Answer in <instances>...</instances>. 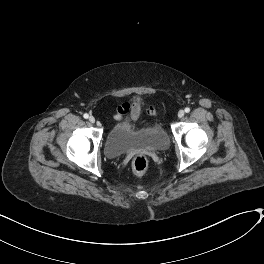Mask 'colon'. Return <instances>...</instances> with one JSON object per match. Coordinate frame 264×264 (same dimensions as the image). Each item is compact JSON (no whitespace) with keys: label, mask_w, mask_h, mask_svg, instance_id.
Returning <instances> with one entry per match:
<instances>
[{"label":"colon","mask_w":264,"mask_h":264,"mask_svg":"<svg viewBox=\"0 0 264 264\" xmlns=\"http://www.w3.org/2000/svg\"><path fill=\"white\" fill-rule=\"evenodd\" d=\"M148 168V159L144 155H138L133 159L132 169L135 174H143Z\"/></svg>","instance_id":"1"}]
</instances>
